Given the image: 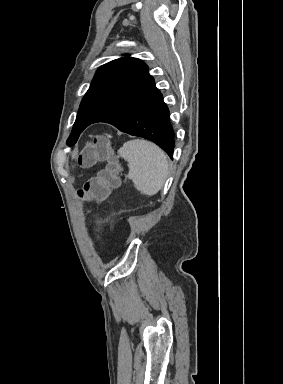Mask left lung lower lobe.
<instances>
[{
	"instance_id": "obj_1",
	"label": "left lung lower lobe",
	"mask_w": 283,
	"mask_h": 384,
	"mask_svg": "<svg viewBox=\"0 0 283 384\" xmlns=\"http://www.w3.org/2000/svg\"><path fill=\"white\" fill-rule=\"evenodd\" d=\"M96 122H107L122 132L149 139L173 157L175 144L169 109L151 76L89 125Z\"/></svg>"
}]
</instances>
